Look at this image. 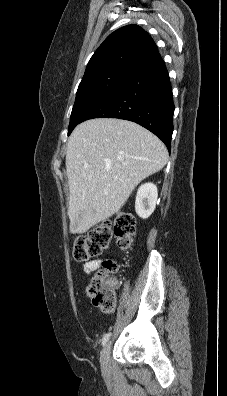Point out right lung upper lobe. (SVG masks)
<instances>
[{
	"instance_id": "cb5924a9",
	"label": "right lung upper lobe",
	"mask_w": 227,
	"mask_h": 396,
	"mask_svg": "<svg viewBox=\"0 0 227 396\" xmlns=\"http://www.w3.org/2000/svg\"><path fill=\"white\" fill-rule=\"evenodd\" d=\"M157 54V46L146 31L138 25L124 26L111 33L95 51L84 77L109 68L134 70Z\"/></svg>"
}]
</instances>
